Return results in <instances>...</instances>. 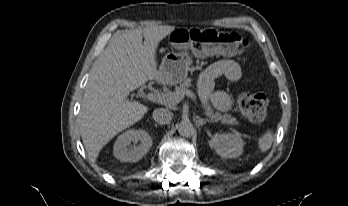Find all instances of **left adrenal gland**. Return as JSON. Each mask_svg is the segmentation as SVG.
<instances>
[{
	"instance_id": "left-adrenal-gland-1",
	"label": "left adrenal gland",
	"mask_w": 348,
	"mask_h": 206,
	"mask_svg": "<svg viewBox=\"0 0 348 206\" xmlns=\"http://www.w3.org/2000/svg\"><path fill=\"white\" fill-rule=\"evenodd\" d=\"M209 123V122H213L211 119H207V118H205V119H202V118H200L199 116H196V123L200 126H202V125H204V124H206V123Z\"/></svg>"
}]
</instances>
